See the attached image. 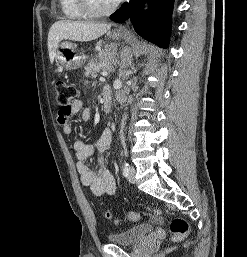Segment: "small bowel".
<instances>
[{"instance_id":"small-bowel-1","label":"small bowel","mask_w":247,"mask_h":257,"mask_svg":"<svg viewBox=\"0 0 247 257\" xmlns=\"http://www.w3.org/2000/svg\"><path fill=\"white\" fill-rule=\"evenodd\" d=\"M83 108L81 100H74L65 111L59 110L58 121L66 134L73 131L70 119ZM83 119L88 120L90 113L87 109L83 110ZM112 131L106 128L102 131L95 144H87L82 140L74 142V151L77 159L76 168L80 175L81 182L88 187L95 196L112 195L116 192V181L110 171L105 169L99 161L97 170H93L89 165V159L95 151H104L112 142Z\"/></svg>"}]
</instances>
